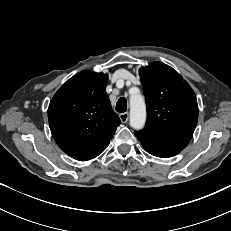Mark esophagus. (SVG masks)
Returning a JSON list of instances; mask_svg holds the SVG:
<instances>
[{
  "label": "esophagus",
  "mask_w": 231,
  "mask_h": 231,
  "mask_svg": "<svg viewBox=\"0 0 231 231\" xmlns=\"http://www.w3.org/2000/svg\"><path fill=\"white\" fill-rule=\"evenodd\" d=\"M119 117H120V120L122 123H126L128 121V118H129V113L128 112L121 113L119 115Z\"/></svg>",
  "instance_id": "obj_1"
}]
</instances>
